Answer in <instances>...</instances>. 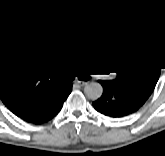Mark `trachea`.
<instances>
[{"instance_id": "trachea-1", "label": "trachea", "mask_w": 165, "mask_h": 156, "mask_svg": "<svg viewBox=\"0 0 165 156\" xmlns=\"http://www.w3.org/2000/svg\"><path fill=\"white\" fill-rule=\"evenodd\" d=\"M76 75L78 76V80L87 81L89 79V75L80 67H72L70 70L63 73L60 77H57L56 80L62 83L71 82L75 79Z\"/></svg>"}]
</instances>
